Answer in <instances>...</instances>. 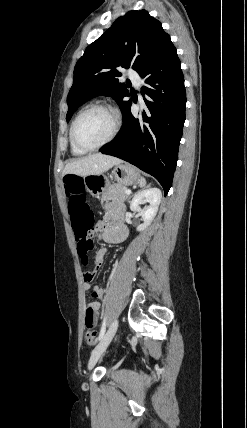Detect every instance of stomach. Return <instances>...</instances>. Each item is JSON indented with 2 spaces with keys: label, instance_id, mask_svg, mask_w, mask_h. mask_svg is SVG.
<instances>
[{
  "label": "stomach",
  "instance_id": "1",
  "mask_svg": "<svg viewBox=\"0 0 247 428\" xmlns=\"http://www.w3.org/2000/svg\"><path fill=\"white\" fill-rule=\"evenodd\" d=\"M112 177L124 186L133 185L140 181L139 171L130 164H117L112 170ZM87 191L93 197H99L109 186V179L106 175L95 174L81 177Z\"/></svg>",
  "mask_w": 247,
  "mask_h": 428
}]
</instances>
